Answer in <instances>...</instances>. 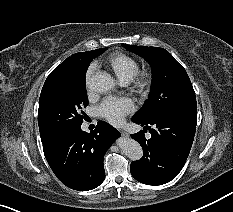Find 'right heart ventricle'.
Segmentation results:
<instances>
[{
  "mask_svg": "<svg viewBox=\"0 0 233 212\" xmlns=\"http://www.w3.org/2000/svg\"><path fill=\"white\" fill-rule=\"evenodd\" d=\"M105 63L119 81L125 84L130 82L139 72L137 60L125 53H113L107 57Z\"/></svg>",
  "mask_w": 233,
  "mask_h": 212,
  "instance_id": "right-heart-ventricle-1",
  "label": "right heart ventricle"
}]
</instances>
